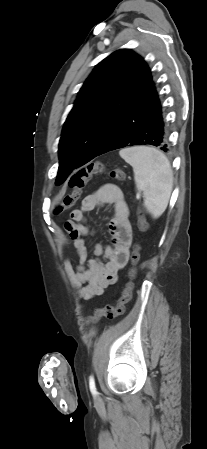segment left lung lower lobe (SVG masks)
<instances>
[{
    "label": "left lung lower lobe",
    "mask_w": 207,
    "mask_h": 449,
    "mask_svg": "<svg viewBox=\"0 0 207 449\" xmlns=\"http://www.w3.org/2000/svg\"><path fill=\"white\" fill-rule=\"evenodd\" d=\"M133 145H153L168 151V134L154 82L139 102L111 131L96 156Z\"/></svg>",
    "instance_id": "0a47b994"
}]
</instances>
